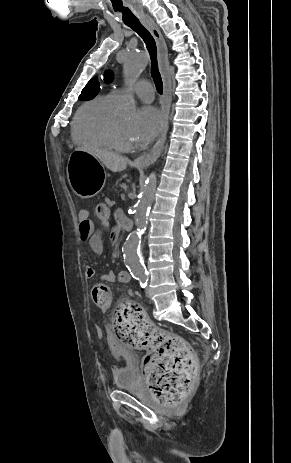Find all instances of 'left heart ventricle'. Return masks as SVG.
<instances>
[{"label":"left heart ventricle","mask_w":291,"mask_h":463,"mask_svg":"<svg viewBox=\"0 0 291 463\" xmlns=\"http://www.w3.org/2000/svg\"><path fill=\"white\" fill-rule=\"evenodd\" d=\"M117 121V124L123 134V136L125 137V139L132 144V138L130 136V129L132 127V124L131 122L129 121H125V120H116Z\"/></svg>","instance_id":"obj_1"}]
</instances>
